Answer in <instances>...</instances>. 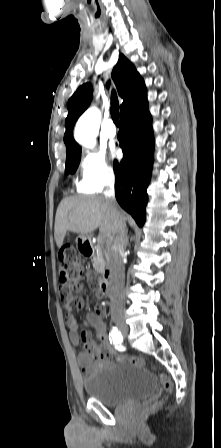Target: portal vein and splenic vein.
<instances>
[{"mask_svg": "<svg viewBox=\"0 0 221 448\" xmlns=\"http://www.w3.org/2000/svg\"><path fill=\"white\" fill-rule=\"evenodd\" d=\"M98 241H102V237H99V238H98Z\"/></svg>", "mask_w": 221, "mask_h": 448, "instance_id": "portal-vein-and-splenic-vein-1", "label": "portal vein and splenic vein"}]
</instances>
